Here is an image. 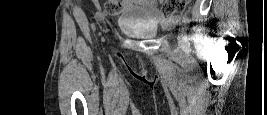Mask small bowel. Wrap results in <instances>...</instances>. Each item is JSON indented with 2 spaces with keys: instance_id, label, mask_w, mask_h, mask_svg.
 Instances as JSON below:
<instances>
[{
  "instance_id": "small-bowel-1",
  "label": "small bowel",
  "mask_w": 267,
  "mask_h": 115,
  "mask_svg": "<svg viewBox=\"0 0 267 115\" xmlns=\"http://www.w3.org/2000/svg\"><path fill=\"white\" fill-rule=\"evenodd\" d=\"M126 5L129 8L141 7L144 10H146L153 19L159 18V13L157 10V5H158L157 0H143V1L129 0V1H126Z\"/></svg>"
}]
</instances>
